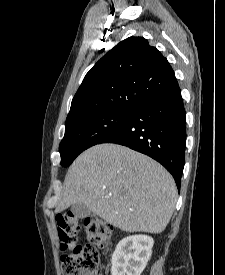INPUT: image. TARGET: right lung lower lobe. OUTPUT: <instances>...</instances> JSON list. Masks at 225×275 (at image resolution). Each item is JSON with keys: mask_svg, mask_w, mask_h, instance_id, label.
Returning <instances> with one entry per match:
<instances>
[{"mask_svg": "<svg viewBox=\"0 0 225 275\" xmlns=\"http://www.w3.org/2000/svg\"><path fill=\"white\" fill-rule=\"evenodd\" d=\"M185 116L178 87L138 105L98 144L116 143L150 156L172 174L179 189L185 163Z\"/></svg>", "mask_w": 225, "mask_h": 275, "instance_id": "98d812e1", "label": "right lung lower lobe"}]
</instances>
